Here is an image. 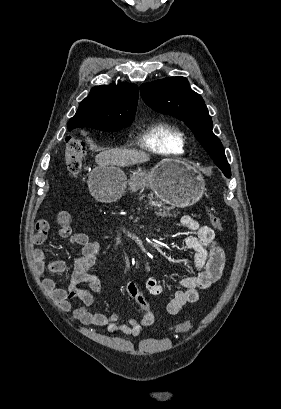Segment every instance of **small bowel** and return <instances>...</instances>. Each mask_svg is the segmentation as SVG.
I'll list each match as a JSON object with an SVG mask.
<instances>
[{"label": "small bowel", "instance_id": "1", "mask_svg": "<svg viewBox=\"0 0 281 409\" xmlns=\"http://www.w3.org/2000/svg\"><path fill=\"white\" fill-rule=\"evenodd\" d=\"M180 222L184 227L194 232L193 236L186 239V247L194 252L196 272L180 281L183 290L177 291L167 305V311L171 315L178 314L186 304L197 302L199 291L207 289L218 282L225 266V253L216 243L212 228L201 225L189 215L182 216ZM58 224L59 236L68 239L71 244L81 247V256L75 260L71 283L68 287L57 286L56 282L50 277L43 279L44 289L57 302L59 308L63 311H70L73 300L78 299L82 304L73 310L72 317L84 325L106 327L110 333H121L134 337L138 336L144 328L152 326L156 322V315L150 308L146 298L139 291L137 283L133 281L127 283L126 292L141 307L143 315L140 319H131L127 323H119L117 314L107 315L89 309L94 304L102 287L100 278L88 273L89 268L97 258L100 245L96 241H91L85 233L72 232L71 216L68 211L60 212ZM34 230L36 234L33 235L32 242L35 245H40L46 239V235L50 230V223L35 222ZM33 257L40 272L47 270L56 274L64 272L67 268L66 263L62 260L48 261L45 251L40 248L34 250ZM80 283H87L90 291L78 287ZM146 288L154 295L160 292V286L153 278L147 280Z\"/></svg>", "mask_w": 281, "mask_h": 409}]
</instances>
